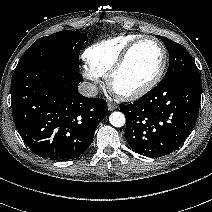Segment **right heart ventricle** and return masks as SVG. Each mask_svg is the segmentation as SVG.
<instances>
[{
  "label": "right heart ventricle",
  "mask_w": 212,
  "mask_h": 212,
  "mask_svg": "<svg viewBox=\"0 0 212 212\" xmlns=\"http://www.w3.org/2000/svg\"><path fill=\"white\" fill-rule=\"evenodd\" d=\"M139 37V35L127 34L95 43L84 51V59L95 71L106 75L124 49Z\"/></svg>",
  "instance_id": "e07e8e85"
}]
</instances>
